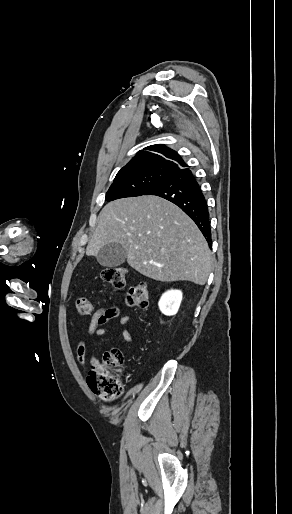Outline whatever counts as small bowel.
I'll use <instances>...</instances> for the list:
<instances>
[{"mask_svg":"<svg viewBox=\"0 0 292 514\" xmlns=\"http://www.w3.org/2000/svg\"><path fill=\"white\" fill-rule=\"evenodd\" d=\"M131 321L130 316L128 315H122L121 309L118 306L115 305H105L97 308L95 312L92 315L89 328H88V335L93 340L96 341L99 339L104 332L112 326H126ZM119 334L121 338L129 343L132 344L135 341L134 336L132 333L127 330L126 328H122L119 331ZM76 354L78 363L80 366L85 369L86 367V354H87V348L84 341H78L77 347H76ZM90 365L93 367L97 366V369H100V362L96 361L94 357L91 359Z\"/></svg>","mask_w":292,"mask_h":514,"instance_id":"small-bowel-1","label":"small bowel"}]
</instances>
